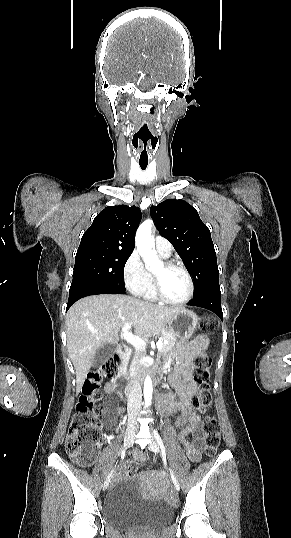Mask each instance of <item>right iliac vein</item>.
I'll return each mask as SVG.
<instances>
[{"label": "right iliac vein", "mask_w": 291, "mask_h": 538, "mask_svg": "<svg viewBox=\"0 0 291 538\" xmlns=\"http://www.w3.org/2000/svg\"><path fill=\"white\" fill-rule=\"evenodd\" d=\"M137 429V425L135 422H129L127 425L126 433H125V439H124V447L128 448L131 446L134 438L135 431ZM116 469H113L112 472L107 476L106 480L104 481L103 489L105 490L110 482L111 475L114 473Z\"/></svg>", "instance_id": "63e3f726"}]
</instances>
